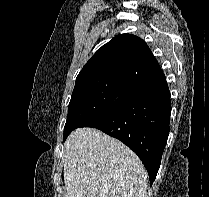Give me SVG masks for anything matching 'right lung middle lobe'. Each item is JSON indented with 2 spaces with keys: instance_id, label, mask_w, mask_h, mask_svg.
Masks as SVG:
<instances>
[{
  "instance_id": "right-lung-middle-lobe-1",
  "label": "right lung middle lobe",
  "mask_w": 209,
  "mask_h": 197,
  "mask_svg": "<svg viewBox=\"0 0 209 197\" xmlns=\"http://www.w3.org/2000/svg\"><path fill=\"white\" fill-rule=\"evenodd\" d=\"M138 90L109 80L76 82L68 107L64 140L76 128L117 105Z\"/></svg>"
}]
</instances>
